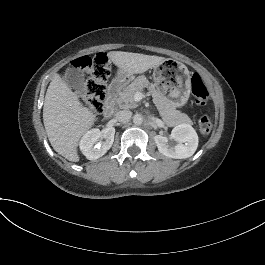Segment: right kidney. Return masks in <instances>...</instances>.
Masks as SVG:
<instances>
[{
    "label": "right kidney",
    "instance_id": "ca27d5eb",
    "mask_svg": "<svg viewBox=\"0 0 265 265\" xmlns=\"http://www.w3.org/2000/svg\"><path fill=\"white\" fill-rule=\"evenodd\" d=\"M115 128L108 127L103 130L91 129L87 131L80 140V150L89 160H96L103 156L112 146L114 142ZM104 138L105 141L97 143L99 139Z\"/></svg>",
    "mask_w": 265,
    "mask_h": 265
}]
</instances>
